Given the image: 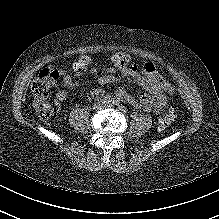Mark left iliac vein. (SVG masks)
<instances>
[{"instance_id":"1","label":"left iliac vein","mask_w":219,"mask_h":219,"mask_svg":"<svg viewBox=\"0 0 219 219\" xmlns=\"http://www.w3.org/2000/svg\"><path fill=\"white\" fill-rule=\"evenodd\" d=\"M105 106L110 107L111 105H110V104H107V105H105Z\"/></svg>"}]
</instances>
